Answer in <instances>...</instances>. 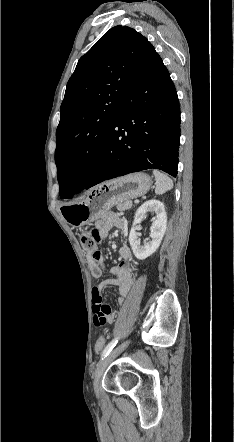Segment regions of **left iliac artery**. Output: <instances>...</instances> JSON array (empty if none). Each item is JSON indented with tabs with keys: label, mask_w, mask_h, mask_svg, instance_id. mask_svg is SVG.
<instances>
[{
	"label": "left iliac artery",
	"mask_w": 234,
	"mask_h": 442,
	"mask_svg": "<svg viewBox=\"0 0 234 442\" xmlns=\"http://www.w3.org/2000/svg\"><path fill=\"white\" fill-rule=\"evenodd\" d=\"M118 337L113 339L103 350L102 354H101V359L105 358L110 352L111 350L115 347V345L118 342Z\"/></svg>",
	"instance_id": "44dca946"
}]
</instances>
